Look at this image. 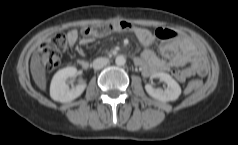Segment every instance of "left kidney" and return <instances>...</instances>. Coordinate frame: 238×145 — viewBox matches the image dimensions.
Returning <instances> with one entry per match:
<instances>
[{
  "mask_svg": "<svg viewBox=\"0 0 238 145\" xmlns=\"http://www.w3.org/2000/svg\"><path fill=\"white\" fill-rule=\"evenodd\" d=\"M151 78H159L167 84L166 89H155L150 84L145 85L146 92L153 98L162 101H175L181 94V87L179 84L167 73L157 72Z\"/></svg>",
  "mask_w": 238,
  "mask_h": 145,
  "instance_id": "left-kidney-1",
  "label": "left kidney"
}]
</instances>
